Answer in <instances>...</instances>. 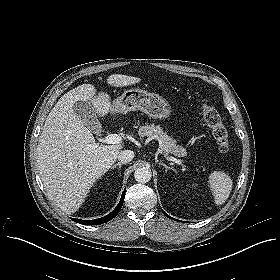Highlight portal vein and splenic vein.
Listing matches in <instances>:
<instances>
[{"label":"portal vein and splenic vein","instance_id":"1","mask_svg":"<svg viewBox=\"0 0 280 280\" xmlns=\"http://www.w3.org/2000/svg\"><path fill=\"white\" fill-rule=\"evenodd\" d=\"M121 141H122V138L118 134H109L103 140V142L107 143V144H119V143H121ZM169 158H170L171 161H174L175 163H178V164H181V165L185 166L184 164H182V161H180V160H178L174 157H169Z\"/></svg>","mask_w":280,"mask_h":280}]
</instances>
